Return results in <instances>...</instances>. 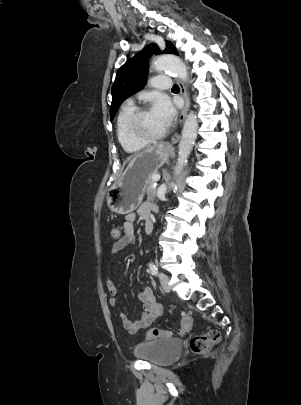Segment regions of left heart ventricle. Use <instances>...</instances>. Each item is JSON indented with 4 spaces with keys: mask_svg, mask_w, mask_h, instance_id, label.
Here are the masks:
<instances>
[{
    "mask_svg": "<svg viewBox=\"0 0 301 405\" xmlns=\"http://www.w3.org/2000/svg\"><path fill=\"white\" fill-rule=\"evenodd\" d=\"M167 127L166 123L152 110L147 111L141 118L140 130L147 135H157Z\"/></svg>",
    "mask_w": 301,
    "mask_h": 405,
    "instance_id": "b2bd125f",
    "label": "left heart ventricle"
}]
</instances>
